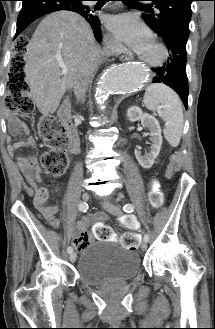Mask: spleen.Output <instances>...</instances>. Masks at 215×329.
I'll return each instance as SVG.
<instances>
[{
	"mask_svg": "<svg viewBox=\"0 0 215 329\" xmlns=\"http://www.w3.org/2000/svg\"><path fill=\"white\" fill-rule=\"evenodd\" d=\"M144 104L151 111H162V119L165 122L164 137L172 147H177L184 126L179 96L164 84H153L145 91Z\"/></svg>",
	"mask_w": 215,
	"mask_h": 329,
	"instance_id": "1",
	"label": "spleen"
}]
</instances>
